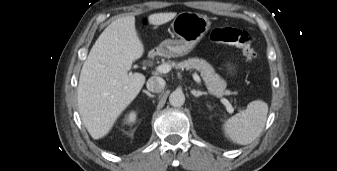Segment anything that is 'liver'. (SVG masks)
I'll list each match as a JSON object with an SVG mask.
<instances>
[{
  "mask_svg": "<svg viewBox=\"0 0 337 171\" xmlns=\"http://www.w3.org/2000/svg\"><path fill=\"white\" fill-rule=\"evenodd\" d=\"M176 15V12L154 13L148 16V22L162 25ZM143 53L132 15L108 25L91 48L81 69L77 101L82 122L93 139L107 135L139 94L146 78L128 71Z\"/></svg>",
  "mask_w": 337,
  "mask_h": 171,
  "instance_id": "liver-1",
  "label": "liver"
}]
</instances>
